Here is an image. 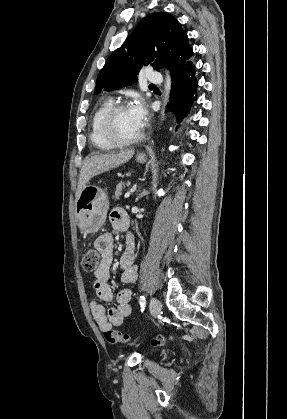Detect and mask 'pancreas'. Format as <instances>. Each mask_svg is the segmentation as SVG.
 Here are the masks:
<instances>
[{"label":"pancreas","mask_w":287,"mask_h":419,"mask_svg":"<svg viewBox=\"0 0 287 419\" xmlns=\"http://www.w3.org/2000/svg\"><path fill=\"white\" fill-rule=\"evenodd\" d=\"M124 187H125V184L124 183H119L116 186L115 195L113 196V198H115V200H119L120 199V196L122 194V190H123Z\"/></svg>","instance_id":"obj_1"}]
</instances>
